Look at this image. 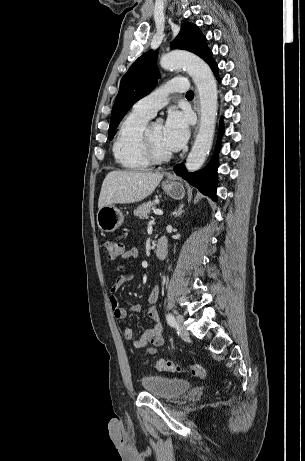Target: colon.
Instances as JSON below:
<instances>
[{
	"instance_id": "obj_1",
	"label": "colon",
	"mask_w": 305,
	"mask_h": 461,
	"mask_svg": "<svg viewBox=\"0 0 305 461\" xmlns=\"http://www.w3.org/2000/svg\"><path fill=\"white\" fill-rule=\"evenodd\" d=\"M103 249L110 260H117L124 254V244L114 239L104 240ZM153 366L159 371L174 373L188 372L197 378H204L206 376V369L200 364L183 366L173 361L159 359L153 363Z\"/></svg>"
}]
</instances>
